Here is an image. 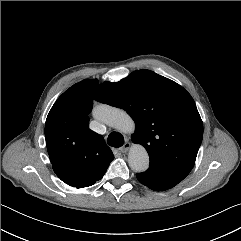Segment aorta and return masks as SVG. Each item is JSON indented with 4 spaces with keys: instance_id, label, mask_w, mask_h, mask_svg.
Listing matches in <instances>:
<instances>
[{
    "instance_id": "762f6f07",
    "label": "aorta",
    "mask_w": 241,
    "mask_h": 241,
    "mask_svg": "<svg viewBox=\"0 0 241 241\" xmlns=\"http://www.w3.org/2000/svg\"><path fill=\"white\" fill-rule=\"evenodd\" d=\"M93 116L95 119L123 132L133 133L135 122L123 110L109 105L101 104L94 108ZM128 163L135 172H144L149 167V156L146 149L140 145H133L128 153Z\"/></svg>"
}]
</instances>
